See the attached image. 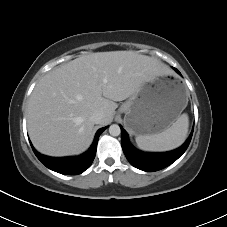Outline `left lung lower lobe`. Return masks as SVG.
I'll return each instance as SVG.
<instances>
[{
	"label": "left lung lower lobe",
	"mask_w": 227,
	"mask_h": 227,
	"mask_svg": "<svg viewBox=\"0 0 227 227\" xmlns=\"http://www.w3.org/2000/svg\"><path fill=\"white\" fill-rule=\"evenodd\" d=\"M174 69L180 74L176 68ZM192 134L193 130L186 142L178 149L164 153H146L138 151L131 145L126 131L121 127V145L131 165L143 171L153 172L161 170L175 162L188 148Z\"/></svg>",
	"instance_id": "0a47b994"
}]
</instances>
